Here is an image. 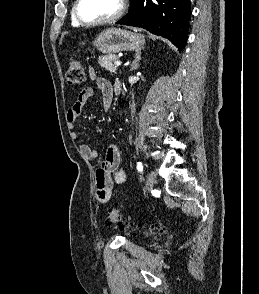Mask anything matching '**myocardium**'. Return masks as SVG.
Listing matches in <instances>:
<instances>
[{
	"label": "myocardium",
	"mask_w": 259,
	"mask_h": 294,
	"mask_svg": "<svg viewBox=\"0 0 259 294\" xmlns=\"http://www.w3.org/2000/svg\"><path fill=\"white\" fill-rule=\"evenodd\" d=\"M81 1L82 0L75 1V4L73 6V16H74L75 20L81 26H85V27H95V26H101V25L115 22V21L119 20L124 15V13L126 12V9H127V0H120L119 1L120 2L119 9L113 15H111L107 18L101 19V20H97V21H87V20L83 19L80 14L79 7H80Z\"/></svg>",
	"instance_id": "myocardium-1"
}]
</instances>
